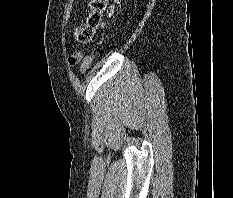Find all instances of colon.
Segmentation results:
<instances>
[{
	"mask_svg": "<svg viewBox=\"0 0 233 198\" xmlns=\"http://www.w3.org/2000/svg\"><path fill=\"white\" fill-rule=\"evenodd\" d=\"M118 5L121 0H114ZM107 0H90V13L86 19V24L83 27L77 28L74 32L75 39L80 42H86L91 39L95 29L99 26L102 20V14L105 10ZM94 59L93 51L89 52L82 60L81 71L86 72L92 65ZM77 58L72 56L69 58L71 65L77 62Z\"/></svg>",
	"mask_w": 233,
	"mask_h": 198,
	"instance_id": "colon-1",
	"label": "colon"
}]
</instances>
